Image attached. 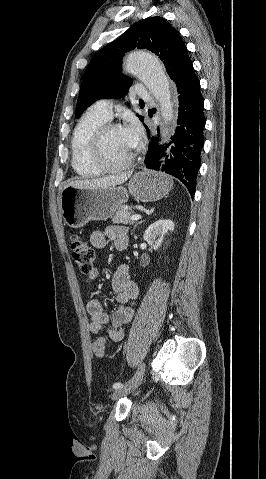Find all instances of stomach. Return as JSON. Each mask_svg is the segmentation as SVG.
I'll use <instances>...</instances> for the list:
<instances>
[{
  "label": "stomach",
  "mask_w": 266,
  "mask_h": 479,
  "mask_svg": "<svg viewBox=\"0 0 266 479\" xmlns=\"http://www.w3.org/2000/svg\"><path fill=\"white\" fill-rule=\"evenodd\" d=\"M172 184L167 175L144 170L131 178L128 190L115 186L82 189L68 186L61 193L62 217L72 228H81L89 221H105L127 202L129 194L137 201H157L169 193Z\"/></svg>",
  "instance_id": "stomach-1"
}]
</instances>
